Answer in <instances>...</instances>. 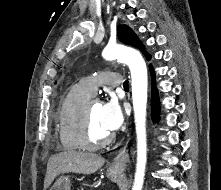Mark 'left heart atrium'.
<instances>
[{"label":"left heart atrium","instance_id":"1","mask_svg":"<svg viewBox=\"0 0 221 190\" xmlns=\"http://www.w3.org/2000/svg\"><path fill=\"white\" fill-rule=\"evenodd\" d=\"M101 121L104 128L109 132L120 128L123 123V113L117 100L110 99L102 105Z\"/></svg>","mask_w":221,"mask_h":190}]
</instances>
